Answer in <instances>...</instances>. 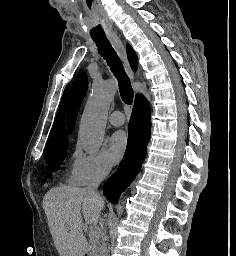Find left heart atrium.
Masks as SVG:
<instances>
[{
  "instance_id": "1",
  "label": "left heart atrium",
  "mask_w": 236,
  "mask_h": 256,
  "mask_svg": "<svg viewBox=\"0 0 236 256\" xmlns=\"http://www.w3.org/2000/svg\"><path fill=\"white\" fill-rule=\"evenodd\" d=\"M128 147V136L123 131L112 135L109 142V157L112 163H118L124 156Z\"/></svg>"
}]
</instances>
